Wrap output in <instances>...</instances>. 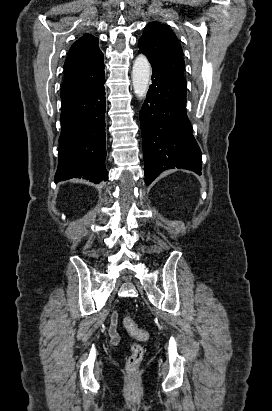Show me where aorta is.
I'll return each mask as SVG.
<instances>
[{
	"label": "aorta",
	"instance_id": "1",
	"mask_svg": "<svg viewBox=\"0 0 272 411\" xmlns=\"http://www.w3.org/2000/svg\"><path fill=\"white\" fill-rule=\"evenodd\" d=\"M151 67L148 59L144 55H139L132 69V84L135 95L139 99H143L147 95L149 87Z\"/></svg>",
	"mask_w": 272,
	"mask_h": 411
}]
</instances>
